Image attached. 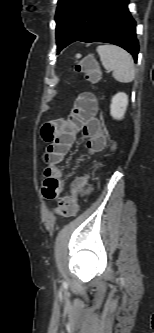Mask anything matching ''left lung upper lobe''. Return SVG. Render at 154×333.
I'll return each mask as SVG.
<instances>
[{"label": "left lung upper lobe", "mask_w": 154, "mask_h": 333, "mask_svg": "<svg viewBox=\"0 0 154 333\" xmlns=\"http://www.w3.org/2000/svg\"><path fill=\"white\" fill-rule=\"evenodd\" d=\"M97 0H58L55 15L57 51L72 37L82 19Z\"/></svg>", "instance_id": "5c2ea615"}]
</instances>
